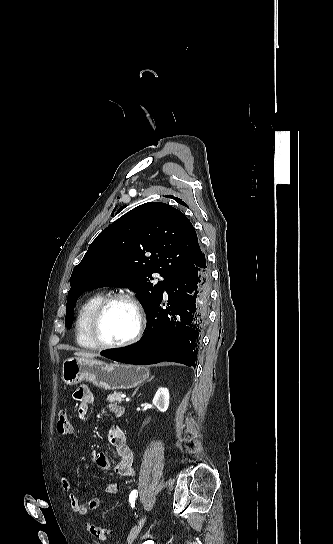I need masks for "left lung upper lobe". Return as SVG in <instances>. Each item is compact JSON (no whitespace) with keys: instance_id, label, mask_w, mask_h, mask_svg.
Listing matches in <instances>:
<instances>
[{"instance_id":"5c2ea615","label":"left lung upper lobe","mask_w":333,"mask_h":544,"mask_svg":"<svg viewBox=\"0 0 333 544\" xmlns=\"http://www.w3.org/2000/svg\"><path fill=\"white\" fill-rule=\"evenodd\" d=\"M201 253L194 227L181 211L160 202L134 208L104 229L74 268L65 326H72L78 297L103 286L129 287L148 311ZM154 273L162 279L154 281Z\"/></svg>"}]
</instances>
